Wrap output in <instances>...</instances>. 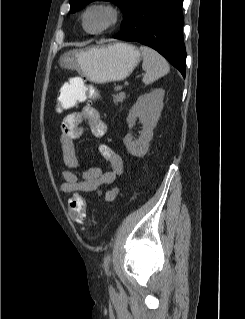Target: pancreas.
<instances>
[{"mask_svg": "<svg viewBox=\"0 0 245 319\" xmlns=\"http://www.w3.org/2000/svg\"><path fill=\"white\" fill-rule=\"evenodd\" d=\"M124 94H122V93H120V94H117V95H114L113 96V102L115 103V104H117L118 102H122L123 101V99H124Z\"/></svg>", "mask_w": 245, "mask_h": 319, "instance_id": "obj_1", "label": "pancreas"}]
</instances>
